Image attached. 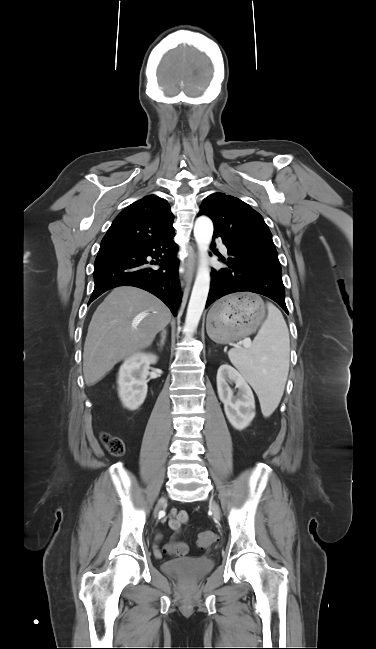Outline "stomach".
Returning a JSON list of instances; mask_svg holds the SVG:
<instances>
[{"label": "stomach", "mask_w": 376, "mask_h": 649, "mask_svg": "<svg viewBox=\"0 0 376 649\" xmlns=\"http://www.w3.org/2000/svg\"><path fill=\"white\" fill-rule=\"evenodd\" d=\"M265 318V305L254 293L229 295L218 301L207 316V333L219 344L250 335Z\"/></svg>", "instance_id": "stomach-1"}]
</instances>
